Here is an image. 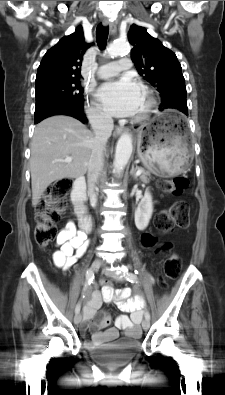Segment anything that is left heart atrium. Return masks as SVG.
I'll return each mask as SVG.
<instances>
[{
	"mask_svg": "<svg viewBox=\"0 0 225 395\" xmlns=\"http://www.w3.org/2000/svg\"><path fill=\"white\" fill-rule=\"evenodd\" d=\"M97 97L108 114L116 117L133 116L140 105L142 88L126 76L103 84Z\"/></svg>",
	"mask_w": 225,
	"mask_h": 395,
	"instance_id": "39dd6f15",
	"label": "left heart atrium"
}]
</instances>
